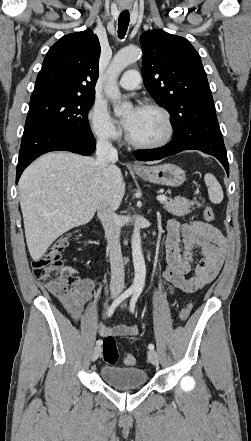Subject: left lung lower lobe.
I'll return each instance as SVG.
<instances>
[{
    "label": "left lung lower lobe",
    "mask_w": 251,
    "mask_h": 441,
    "mask_svg": "<svg viewBox=\"0 0 251 441\" xmlns=\"http://www.w3.org/2000/svg\"><path fill=\"white\" fill-rule=\"evenodd\" d=\"M192 149L216 157L229 176L227 152L216 116L195 115L174 130L169 144L157 149L138 150L135 157L139 161H152Z\"/></svg>",
    "instance_id": "obj_1"
}]
</instances>
